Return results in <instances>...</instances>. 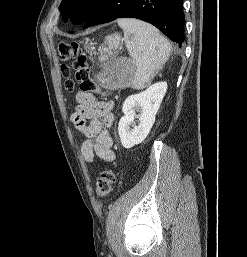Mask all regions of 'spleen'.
<instances>
[{
    "label": "spleen",
    "mask_w": 247,
    "mask_h": 257,
    "mask_svg": "<svg viewBox=\"0 0 247 257\" xmlns=\"http://www.w3.org/2000/svg\"><path fill=\"white\" fill-rule=\"evenodd\" d=\"M117 22L135 67L132 85L143 88L169 59L171 45L158 29L144 21L120 18Z\"/></svg>",
    "instance_id": "spleen-1"
}]
</instances>
